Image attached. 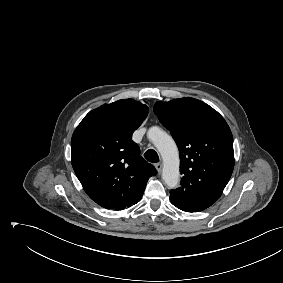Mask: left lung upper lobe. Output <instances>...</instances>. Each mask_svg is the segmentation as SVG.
Returning <instances> with one entry per match:
<instances>
[{"label": "left lung upper lobe", "mask_w": 283, "mask_h": 283, "mask_svg": "<svg viewBox=\"0 0 283 283\" xmlns=\"http://www.w3.org/2000/svg\"><path fill=\"white\" fill-rule=\"evenodd\" d=\"M154 113L180 153L181 186L170 198L200 212L221 196L234 168L233 137L223 117L194 98L157 102Z\"/></svg>", "instance_id": "1"}]
</instances>
